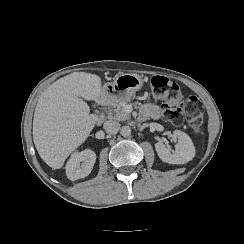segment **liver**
<instances>
[{
  "label": "liver",
  "mask_w": 244,
  "mask_h": 244,
  "mask_svg": "<svg viewBox=\"0 0 244 244\" xmlns=\"http://www.w3.org/2000/svg\"><path fill=\"white\" fill-rule=\"evenodd\" d=\"M100 75L73 72L53 82L40 96L34 111L33 142L40 158L61 169L67 158L90 136L99 120L85 101L103 94Z\"/></svg>",
  "instance_id": "6515ba94"
}]
</instances>
